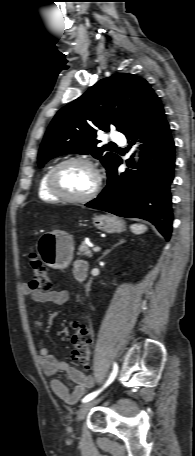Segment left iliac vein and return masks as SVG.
Masks as SVG:
<instances>
[{
  "mask_svg": "<svg viewBox=\"0 0 195 456\" xmlns=\"http://www.w3.org/2000/svg\"><path fill=\"white\" fill-rule=\"evenodd\" d=\"M101 400V398L99 399H96V400H90L88 402H85L81 405L80 409L78 410V413H77V421L80 422L82 421L86 414L88 413V411L94 406L96 405L99 401Z\"/></svg>",
  "mask_w": 195,
  "mask_h": 456,
  "instance_id": "4c4485c4",
  "label": "left iliac vein"
}]
</instances>
